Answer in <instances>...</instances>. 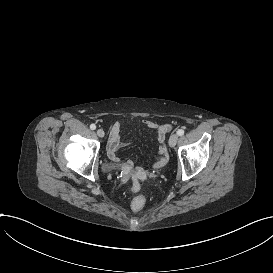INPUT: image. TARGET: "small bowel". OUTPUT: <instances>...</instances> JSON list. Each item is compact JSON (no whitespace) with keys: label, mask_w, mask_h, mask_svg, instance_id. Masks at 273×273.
<instances>
[{"label":"small bowel","mask_w":273,"mask_h":273,"mask_svg":"<svg viewBox=\"0 0 273 273\" xmlns=\"http://www.w3.org/2000/svg\"><path fill=\"white\" fill-rule=\"evenodd\" d=\"M146 126L149 129L154 130L156 134V140L160 143V147L157 150L158 159L156 160L154 167L159 168L167 164L168 159V150L167 143L164 142L165 136L164 131L168 129V125H161L153 121H147ZM122 131V123L120 121H115L110 125L109 128V138H108V147H107V155L108 158L114 162L119 163L120 158L118 156V151L124 146V143L120 140V135ZM124 168L123 178L127 179L130 173H136L138 177H141L142 180H145L148 176L147 172H143V169L139 166H135L132 161H127L122 164ZM129 170V171H128ZM141 187L144 190L148 189L145 181L141 182ZM122 192L125 193L126 196H133V191H127L126 188L122 189Z\"/></svg>","instance_id":"c3829d8e"}]
</instances>
